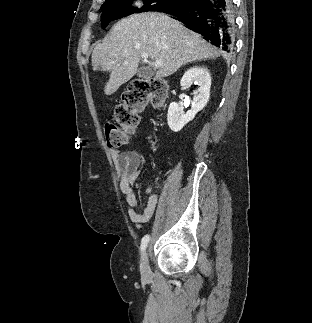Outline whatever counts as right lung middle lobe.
Returning <instances> with one entry per match:
<instances>
[{
  "mask_svg": "<svg viewBox=\"0 0 312 323\" xmlns=\"http://www.w3.org/2000/svg\"><path fill=\"white\" fill-rule=\"evenodd\" d=\"M131 0H114L110 3L102 5L103 11L101 22L106 27L110 21L127 16L133 13L145 11H160L179 4L182 0H143L144 5L141 8H134L128 5Z\"/></svg>",
  "mask_w": 312,
  "mask_h": 323,
  "instance_id": "right-lung-middle-lobe-1",
  "label": "right lung middle lobe"
}]
</instances>
